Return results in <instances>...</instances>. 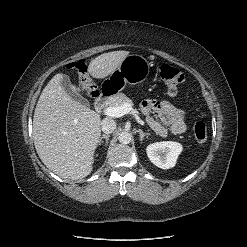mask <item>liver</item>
<instances>
[{
	"label": "liver",
	"instance_id": "1",
	"mask_svg": "<svg viewBox=\"0 0 247 247\" xmlns=\"http://www.w3.org/2000/svg\"><path fill=\"white\" fill-rule=\"evenodd\" d=\"M128 51H113L93 59L88 72L105 78L118 68ZM55 75L43 89L33 117V141L44 165L64 179L77 180L93 170L94 152L101 136L100 116L74 100ZM71 88L79 96L75 85Z\"/></svg>",
	"mask_w": 247,
	"mask_h": 247
}]
</instances>
